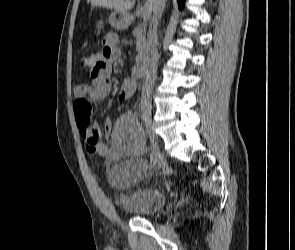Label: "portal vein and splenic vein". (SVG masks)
<instances>
[{"label":"portal vein and splenic vein","instance_id":"portal-vein-and-splenic-vein-1","mask_svg":"<svg viewBox=\"0 0 295 250\" xmlns=\"http://www.w3.org/2000/svg\"><path fill=\"white\" fill-rule=\"evenodd\" d=\"M150 14H151V10L146 7L143 11V19L146 20L147 18H149Z\"/></svg>","mask_w":295,"mask_h":250}]
</instances>
